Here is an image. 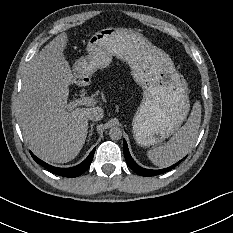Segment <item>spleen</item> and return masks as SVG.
<instances>
[{
  "label": "spleen",
  "instance_id": "spleen-1",
  "mask_svg": "<svg viewBox=\"0 0 233 233\" xmlns=\"http://www.w3.org/2000/svg\"><path fill=\"white\" fill-rule=\"evenodd\" d=\"M201 104L196 100L186 123L179 128L166 145L149 151V157L159 167H168L183 159L197 141L201 123Z\"/></svg>",
  "mask_w": 233,
  "mask_h": 233
}]
</instances>
